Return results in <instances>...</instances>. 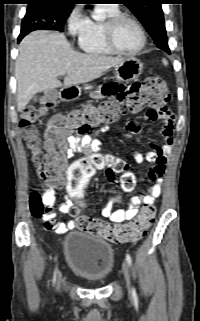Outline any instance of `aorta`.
Wrapping results in <instances>:
<instances>
[{"instance_id":"obj_1","label":"aorta","mask_w":200,"mask_h":321,"mask_svg":"<svg viewBox=\"0 0 200 321\" xmlns=\"http://www.w3.org/2000/svg\"><path fill=\"white\" fill-rule=\"evenodd\" d=\"M92 18L95 19V20H97V19L99 18V15H98L96 12H94V13L92 14Z\"/></svg>"}]
</instances>
